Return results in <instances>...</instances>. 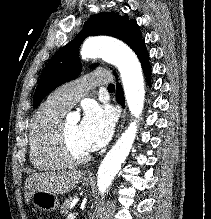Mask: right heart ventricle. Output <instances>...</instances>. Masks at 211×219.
I'll use <instances>...</instances> for the list:
<instances>
[{
  "label": "right heart ventricle",
  "mask_w": 211,
  "mask_h": 219,
  "mask_svg": "<svg viewBox=\"0 0 211 219\" xmlns=\"http://www.w3.org/2000/svg\"><path fill=\"white\" fill-rule=\"evenodd\" d=\"M66 108L50 98L32 116L29 129V149L32 165L41 171L63 169L71 165L57 147V127Z\"/></svg>",
  "instance_id": "e07e8e85"
}]
</instances>
